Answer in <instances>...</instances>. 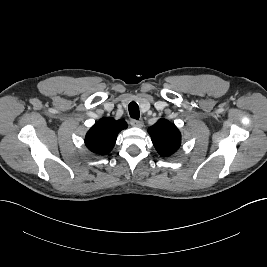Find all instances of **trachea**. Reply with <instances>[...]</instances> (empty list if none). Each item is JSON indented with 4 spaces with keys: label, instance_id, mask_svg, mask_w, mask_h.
<instances>
[{
    "label": "trachea",
    "instance_id": "1",
    "mask_svg": "<svg viewBox=\"0 0 267 267\" xmlns=\"http://www.w3.org/2000/svg\"><path fill=\"white\" fill-rule=\"evenodd\" d=\"M128 110H129V114L131 118L136 119V120L139 119L140 111H139V106L136 102H131L128 105Z\"/></svg>",
    "mask_w": 267,
    "mask_h": 267
}]
</instances>
